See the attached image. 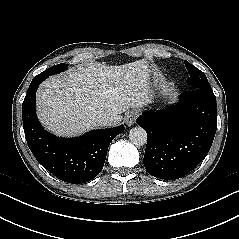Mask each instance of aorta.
I'll list each match as a JSON object with an SVG mask.
<instances>
[{"instance_id": "obj_1", "label": "aorta", "mask_w": 239, "mask_h": 239, "mask_svg": "<svg viewBox=\"0 0 239 239\" xmlns=\"http://www.w3.org/2000/svg\"><path fill=\"white\" fill-rule=\"evenodd\" d=\"M129 140L135 146H143L147 142V133L142 127H133L129 131Z\"/></svg>"}]
</instances>
